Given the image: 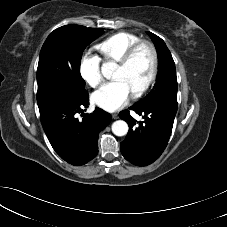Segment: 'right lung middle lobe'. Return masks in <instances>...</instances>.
Masks as SVG:
<instances>
[{
    "label": "right lung middle lobe",
    "mask_w": 227,
    "mask_h": 227,
    "mask_svg": "<svg viewBox=\"0 0 227 227\" xmlns=\"http://www.w3.org/2000/svg\"><path fill=\"white\" fill-rule=\"evenodd\" d=\"M103 33V29L71 24L57 28L47 37L37 69L39 109L57 101L76 99L86 92L80 74L82 53Z\"/></svg>",
    "instance_id": "right-lung-middle-lobe-1"
}]
</instances>
